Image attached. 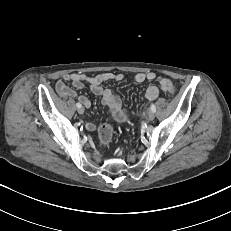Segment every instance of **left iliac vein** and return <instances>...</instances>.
Masks as SVG:
<instances>
[{"instance_id": "4c4485c4", "label": "left iliac vein", "mask_w": 231, "mask_h": 231, "mask_svg": "<svg viewBox=\"0 0 231 231\" xmlns=\"http://www.w3.org/2000/svg\"><path fill=\"white\" fill-rule=\"evenodd\" d=\"M154 118H155L154 112H152V111L149 112V114H148V119L152 121Z\"/></svg>"}]
</instances>
